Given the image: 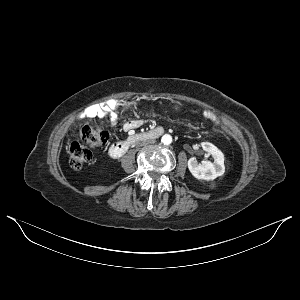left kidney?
Returning a JSON list of instances; mask_svg holds the SVG:
<instances>
[{"label": "left kidney", "instance_id": "1", "mask_svg": "<svg viewBox=\"0 0 300 300\" xmlns=\"http://www.w3.org/2000/svg\"><path fill=\"white\" fill-rule=\"evenodd\" d=\"M201 146L208 154L212 155L214 162L203 161L198 163L195 157L188 160V168L191 174L199 180H214L225 172L224 154L215 145L202 142Z\"/></svg>", "mask_w": 300, "mask_h": 300}]
</instances>
